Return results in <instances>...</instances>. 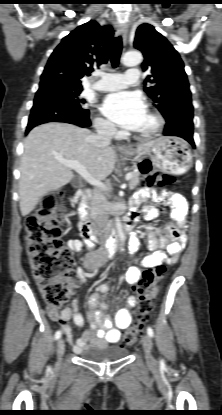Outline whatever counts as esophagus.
I'll return each mask as SVG.
<instances>
[{"instance_id": "obj_1", "label": "esophagus", "mask_w": 222, "mask_h": 415, "mask_svg": "<svg viewBox=\"0 0 222 415\" xmlns=\"http://www.w3.org/2000/svg\"><path fill=\"white\" fill-rule=\"evenodd\" d=\"M127 27L125 25H120L117 29V35L122 37L123 43L126 44L127 41ZM119 150H127V147L124 145L117 144L116 145Z\"/></svg>"}]
</instances>
